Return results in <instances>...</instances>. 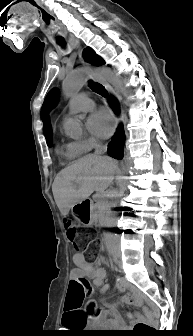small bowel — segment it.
I'll return each mask as SVG.
<instances>
[{"label":"small bowel","instance_id":"small-bowel-1","mask_svg":"<svg viewBox=\"0 0 193 336\" xmlns=\"http://www.w3.org/2000/svg\"><path fill=\"white\" fill-rule=\"evenodd\" d=\"M100 261L95 263L88 262L84 255L75 253L73 255L74 268L70 273L69 288L66 298V308L62 318V324L66 327H71L77 322H88L87 312L84 307V286L90 281L94 286L101 288V293L104 295L108 290V286L104 284L106 278V272L104 268L99 266ZM116 287L118 291L123 292L129 289V292L123 296L121 301L116 304H106L108 312L111 314V318L99 315L93 318L94 322H102L105 324L118 325L119 317L117 315V309L120 304H130L133 302H143V297L139 294V291L129 287L127 281L122 278L116 279ZM151 306V309H154Z\"/></svg>","mask_w":193,"mask_h":336}]
</instances>
